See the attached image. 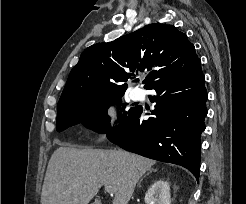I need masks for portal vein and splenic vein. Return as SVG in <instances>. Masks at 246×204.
Returning a JSON list of instances; mask_svg holds the SVG:
<instances>
[{
    "instance_id": "portal-vein-and-splenic-vein-1",
    "label": "portal vein and splenic vein",
    "mask_w": 246,
    "mask_h": 204,
    "mask_svg": "<svg viewBox=\"0 0 246 204\" xmlns=\"http://www.w3.org/2000/svg\"><path fill=\"white\" fill-rule=\"evenodd\" d=\"M105 190L108 192V193H114V189L112 186H109V185H105Z\"/></svg>"
}]
</instances>
